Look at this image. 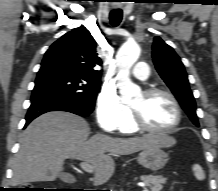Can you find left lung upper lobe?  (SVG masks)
I'll list each match as a JSON object with an SVG mask.
<instances>
[{
  "label": "left lung upper lobe",
  "mask_w": 218,
  "mask_h": 191,
  "mask_svg": "<svg viewBox=\"0 0 218 191\" xmlns=\"http://www.w3.org/2000/svg\"><path fill=\"white\" fill-rule=\"evenodd\" d=\"M152 49L153 62L159 75L175 95L191 121L199 126L194 96L190 90L187 73L180 57L160 37L154 38Z\"/></svg>",
  "instance_id": "5c2ea615"
}]
</instances>
